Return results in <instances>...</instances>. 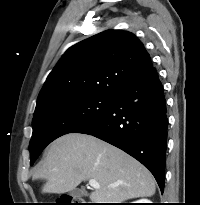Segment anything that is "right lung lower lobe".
Listing matches in <instances>:
<instances>
[{
  "label": "right lung lower lobe",
  "mask_w": 200,
  "mask_h": 205,
  "mask_svg": "<svg viewBox=\"0 0 200 205\" xmlns=\"http://www.w3.org/2000/svg\"><path fill=\"white\" fill-rule=\"evenodd\" d=\"M167 126L163 87L152 68L122 89L101 118L76 132L95 136L133 156L151 171L163 193Z\"/></svg>",
  "instance_id": "1"
}]
</instances>
